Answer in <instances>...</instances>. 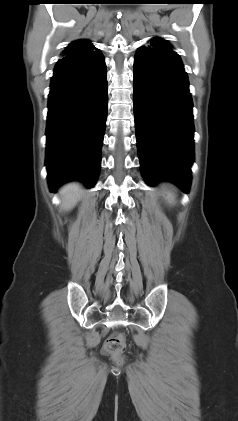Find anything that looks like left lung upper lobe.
<instances>
[{"label": "left lung upper lobe", "mask_w": 238, "mask_h": 421, "mask_svg": "<svg viewBox=\"0 0 238 421\" xmlns=\"http://www.w3.org/2000/svg\"><path fill=\"white\" fill-rule=\"evenodd\" d=\"M149 47H162V48H166V47H171V44L168 43L164 39L154 38L153 40H151V45Z\"/></svg>", "instance_id": "1"}]
</instances>
